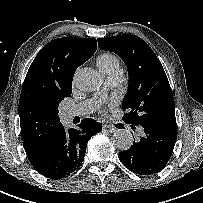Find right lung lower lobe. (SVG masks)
<instances>
[{"label": "right lung lower lobe", "instance_id": "obj_1", "mask_svg": "<svg viewBox=\"0 0 203 203\" xmlns=\"http://www.w3.org/2000/svg\"><path fill=\"white\" fill-rule=\"evenodd\" d=\"M78 127L66 130L61 124L46 147L28 158L34 169L55 180L77 170L84 160L87 142L102 130V125L93 119H84Z\"/></svg>", "mask_w": 203, "mask_h": 203}]
</instances>
